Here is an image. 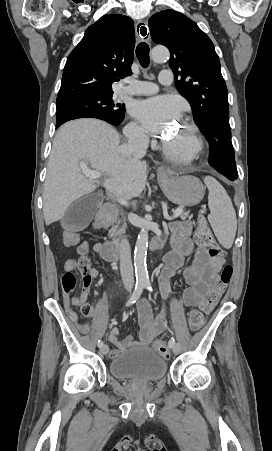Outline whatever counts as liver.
I'll list each match as a JSON object with an SVG mask.
<instances>
[{
  "label": "liver",
  "mask_w": 272,
  "mask_h": 451,
  "mask_svg": "<svg viewBox=\"0 0 272 451\" xmlns=\"http://www.w3.org/2000/svg\"><path fill=\"white\" fill-rule=\"evenodd\" d=\"M80 160H87L93 170L104 174L102 186L111 196L131 200L145 188L146 162L138 156H122L115 128L93 118L72 120L57 132L49 156L43 192L46 226L61 220L75 200L98 188L82 174Z\"/></svg>",
  "instance_id": "liver-1"
}]
</instances>
